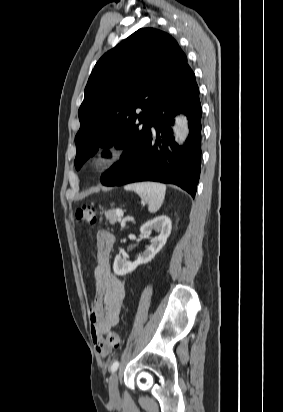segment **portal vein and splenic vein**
Returning <instances> with one entry per match:
<instances>
[{"instance_id": "obj_1", "label": "portal vein and splenic vein", "mask_w": 283, "mask_h": 412, "mask_svg": "<svg viewBox=\"0 0 283 412\" xmlns=\"http://www.w3.org/2000/svg\"><path fill=\"white\" fill-rule=\"evenodd\" d=\"M116 214H117V216H119L120 218H122L123 215H124V213H123V211H122L121 209H116Z\"/></svg>"}]
</instances>
